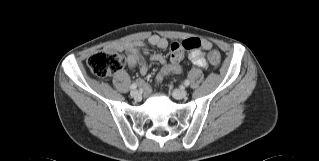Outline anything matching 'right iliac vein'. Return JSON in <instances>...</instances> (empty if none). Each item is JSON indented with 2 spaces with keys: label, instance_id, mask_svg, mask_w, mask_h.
I'll list each match as a JSON object with an SVG mask.
<instances>
[{
  "label": "right iliac vein",
  "instance_id": "1",
  "mask_svg": "<svg viewBox=\"0 0 319 161\" xmlns=\"http://www.w3.org/2000/svg\"><path fill=\"white\" fill-rule=\"evenodd\" d=\"M130 95H131V97H133L134 99L140 98V92L137 91V90L131 91Z\"/></svg>",
  "mask_w": 319,
  "mask_h": 161
}]
</instances>
